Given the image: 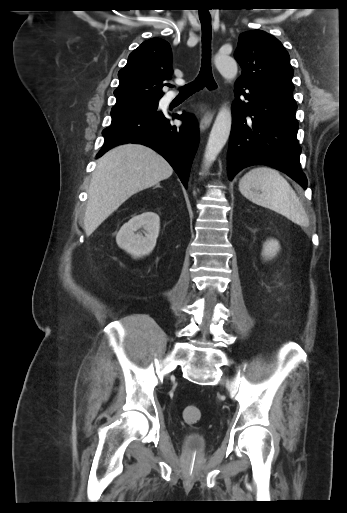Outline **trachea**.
<instances>
[{"instance_id":"3493384b","label":"trachea","mask_w":347,"mask_h":513,"mask_svg":"<svg viewBox=\"0 0 347 513\" xmlns=\"http://www.w3.org/2000/svg\"><path fill=\"white\" fill-rule=\"evenodd\" d=\"M200 22L202 27L203 43L201 70L198 77L193 82L185 85L180 89L181 94L190 95L196 91L201 90L204 86H206L208 89H215L217 87V84L212 76L210 63L211 18L201 19Z\"/></svg>"}]
</instances>
